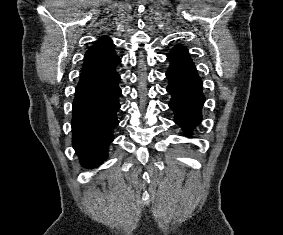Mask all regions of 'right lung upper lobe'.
Returning <instances> with one entry per match:
<instances>
[{
	"instance_id": "1",
	"label": "right lung upper lobe",
	"mask_w": 283,
	"mask_h": 235,
	"mask_svg": "<svg viewBox=\"0 0 283 235\" xmlns=\"http://www.w3.org/2000/svg\"><path fill=\"white\" fill-rule=\"evenodd\" d=\"M120 62L112 40L107 36L102 37L86 52L79 82L112 73Z\"/></svg>"
}]
</instances>
